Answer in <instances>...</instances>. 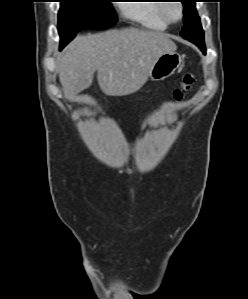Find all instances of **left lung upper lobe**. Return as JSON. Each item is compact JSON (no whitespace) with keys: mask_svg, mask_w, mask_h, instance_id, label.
Wrapping results in <instances>:
<instances>
[{"mask_svg":"<svg viewBox=\"0 0 248 299\" xmlns=\"http://www.w3.org/2000/svg\"><path fill=\"white\" fill-rule=\"evenodd\" d=\"M184 5V27L181 36L205 51L204 32L195 8L196 0H181Z\"/></svg>","mask_w":248,"mask_h":299,"instance_id":"obj_1","label":"left lung upper lobe"}]
</instances>
